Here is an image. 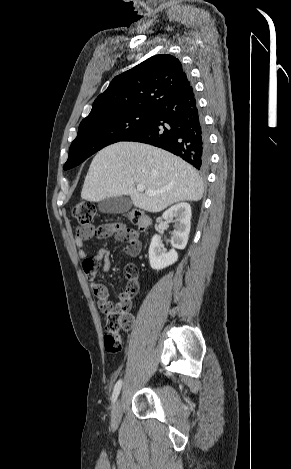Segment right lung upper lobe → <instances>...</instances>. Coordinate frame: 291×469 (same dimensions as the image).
I'll return each mask as SVG.
<instances>
[{
    "mask_svg": "<svg viewBox=\"0 0 291 469\" xmlns=\"http://www.w3.org/2000/svg\"><path fill=\"white\" fill-rule=\"evenodd\" d=\"M187 73L172 55H155L116 76L84 119L104 118L133 109L154 110L175 91L190 87Z\"/></svg>",
    "mask_w": 291,
    "mask_h": 469,
    "instance_id": "cb5924a9",
    "label": "right lung upper lobe"
}]
</instances>
